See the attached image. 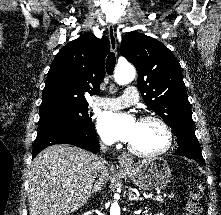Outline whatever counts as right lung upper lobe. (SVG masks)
I'll return each instance as SVG.
<instances>
[{
    "mask_svg": "<svg viewBox=\"0 0 221 215\" xmlns=\"http://www.w3.org/2000/svg\"><path fill=\"white\" fill-rule=\"evenodd\" d=\"M110 43L86 33L65 45L55 56L43 89L41 115L88 106L84 94H98Z\"/></svg>",
    "mask_w": 221,
    "mask_h": 215,
    "instance_id": "cb5924a9",
    "label": "right lung upper lobe"
}]
</instances>
